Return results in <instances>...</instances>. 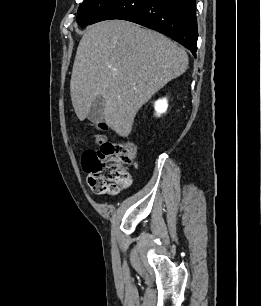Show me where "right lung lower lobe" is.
I'll use <instances>...</instances> for the list:
<instances>
[{"label": "right lung lower lobe", "mask_w": 261, "mask_h": 306, "mask_svg": "<svg viewBox=\"0 0 261 306\" xmlns=\"http://www.w3.org/2000/svg\"><path fill=\"white\" fill-rule=\"evenodd\" d=\"M109 19L131 21L163 33L196 57V0H114L90 24Z\"/></svg>", "instance_id": "obj_1"}]
</instances>
